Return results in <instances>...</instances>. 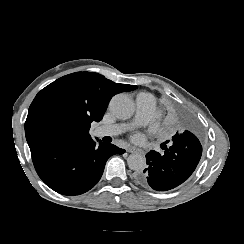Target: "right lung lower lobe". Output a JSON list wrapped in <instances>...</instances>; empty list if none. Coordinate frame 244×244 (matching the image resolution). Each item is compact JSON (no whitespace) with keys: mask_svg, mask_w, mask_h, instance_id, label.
Returning a JSON list of instances; mask_svg holds the SVG:
<instances>
[{"mask_svg":"<svg viewBox=\"0 0 244 244\" xmlns=\"http://www.w3.org/2000/svg\"><path fill=\"white\" fill-rule=\"evenodd\" d=\"M34 167L43 182L63 195H79L100 180L106 161L125 150L88 138L76 142H51L30 147Z\"/></svg>","mask_w":244,"mask_h":244,"instance_id":"98d812e1","label":"right lung lower lobe"}]
</instances>
